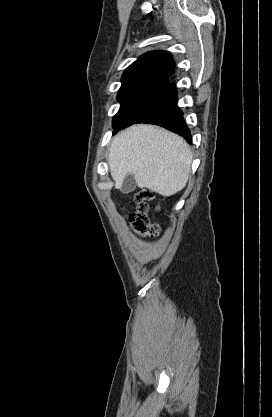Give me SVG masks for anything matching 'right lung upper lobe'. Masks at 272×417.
<instances>
[{
  "label": "right lung upper lobe",
  "instance_id": "1",
  "mask_svg": "<svg viewBox=\"0 0 272 417\" xmlns=\"http://www.w3.org/2000/svg\"><path fill=\"white\" fill-rule=\"evenodd\" d=\"M174 62L168 52L155 51L141 56L123 73L120 92L142 89H164L174 72Z\"/></svg>",
  "mask_w": 272,
  "mask_h": 417
}]
</instances>
